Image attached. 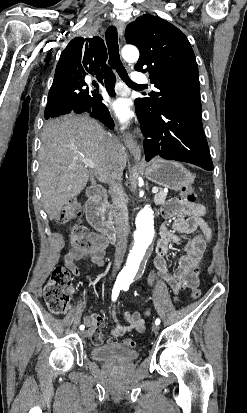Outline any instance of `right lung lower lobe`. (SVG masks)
I'll return each mask as SVG.
<instances>
[{
  "instance_id": "obj_1",
  "label": "right lung lower lobe",
  "mask_w": 247,
  "mask_h": 413,
  "mask_svg": "<svg viewBox=\"0 0 247 413\" xmlns=\"http://www.w3.org/2000/svg\"><path fill=\"white\" fill-rule=\"evenodd\" d=\"M104 79V85L107 91L111 96H114L115 75L104 77ZM72 82L79 84L80 87L77 92L63 98L48 99L44 113L45 119L68 114L70 112H75L77 114L87 112L90 113L91 117L100 120L107 127L113 129V120L110 117L108 109L101 102L102 97L88 91V87H85L86 83L84 82V77L76 78L72 80Z\"/></svg>"
}]
</instances>
